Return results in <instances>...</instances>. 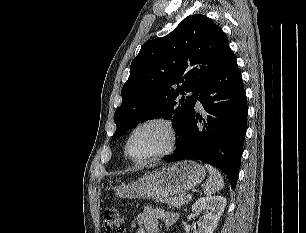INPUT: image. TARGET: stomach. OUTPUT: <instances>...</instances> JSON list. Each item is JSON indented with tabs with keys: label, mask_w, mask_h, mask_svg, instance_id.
Segmentation results:
<instances>
[{
	"label": "stomach",
	"mask_w": 306,
	"mask_h": 233,
	"mask_svg": "<svg viewBox=\"0 0 306 233\" xmlns=\"http://www.w3.org/2000/svg\"><path fill=\"white\" fill-rule=\"evenodd\" d=\"M205 176L204 167L197 162L180 161L145 174L135 182L118 186L115 195L120 198L163 199L196 187Z\"/></svg>",
	"instance_id": "obj_1"
}]
</instances>
